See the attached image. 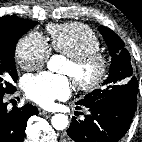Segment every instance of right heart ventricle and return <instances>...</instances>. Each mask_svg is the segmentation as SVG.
<instances>
[{"label": "right heart ventricle", "instance_id": "e07e8e85", "mask_svg": "<svg viewBox=\"0 0 142 142\" xmlns=\"http://www.w3.org/2000/svg\"><path fill=\"white\" fill-rule=\"evenodd\" d=\"M47 31L50 36V47L68 57H76L100 49L98 36L82 23L50 25Z\"/></svg>", "mask_w": 142, "mask_h": 142}]
</instances>
